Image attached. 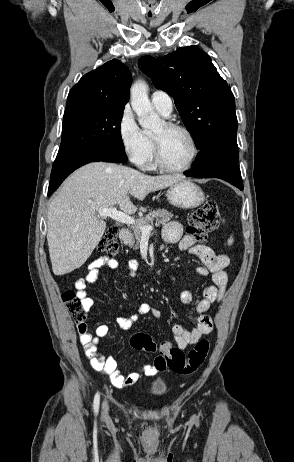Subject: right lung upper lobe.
<instances>
[{
    "instance_id": "right-lung-upper-lobe-1",
    "label": "right lung upper lobe",
    "mask_w": 294,
    "mask_h": 462,
    "mask_svg": "<svg viewBox=\"0 0 294 462\" xmlns=\"http://www.w3.org/2000/svg\"><path fill=\"white\" fill-rule=\"evenodd\" d=\"M131 73L123 63L113 59L85 74L69 92L67 105L103 103L126 105L129 100Z\"/></svg>"
}]
</instances>
